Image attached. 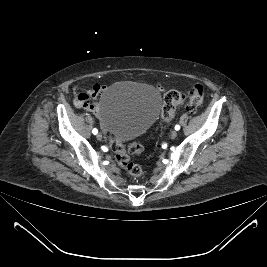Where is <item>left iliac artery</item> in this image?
Wrapping results in <instances>:
<instances>
[{
	"label": "left iliac artery",
	"mask_w": 267,
	"mask_h": 267,
	"mask_svg": "<svg viewBox=\"0 0 267 267\" xmlns=\"http://www.w3.org/2000/svg\"><path fill=\"white\" fill-rule=\"evenodd\" d=\"M180 129V126L179 125H176L175 126V130H179Z\"/></svg>",
	"instance_id": "obj_1"
}]
</instances>
